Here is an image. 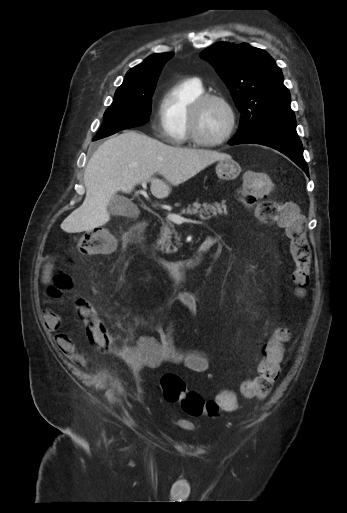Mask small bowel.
<instances>
[{"label": "small bowel", "mask_w": 347, "mask_h": 513, "mask_svg": "<svg viewBox=\"0 0 347 513\" xmlns=\"http://www.w3.org/2000/svg\"><path fill=\"white\" fill-rule=\"evenodd\" d=\"M50 269L51 266H47L44 272L46 281H49ZM173 302L180 304L184 308V319H189L196 313V299L191 292L184 291L178 293L173 298ZM45 322L53 329H56L59 324L58 317L53 312L46 315ZM176 329V322L166 329L156 325L157 338L142 335L135 345L117 348L114 351V356L134 374H139L144 368L159 367L166 362L183 365L196 373L206 372L209 368L207 355L199 350H181L177 348L174 342ZM55 343L63 354L82 359L77 352L76 345L67 335L58 334L55 338Z\"/></svg>", "instance_id": "1"}]
</instances>
